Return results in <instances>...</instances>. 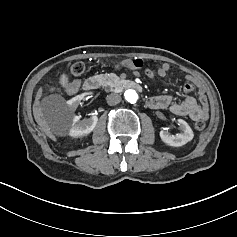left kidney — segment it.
<instances>
[{
  "label": "left kidney",
  "mask_w": 237,
  "mask_h": 237,
  "mask_svg": "<svg viewBox=\"0 0 237 237\" xmlns=\"http://www.w3.org/2000/svg\"><path fill=\"white\" fill-rule=\"evenodd\" d=\"M178 123L180 130L182 131L181 133L173 135L165 130L160 131V137L164 143L170 146L179 147L193 139L194 133L188 123L182 119H178Z\"/></svg>",
  "instance_id": "left-kidney-1"
}]
</instances>
